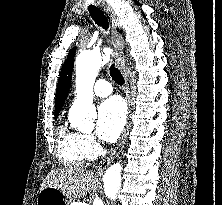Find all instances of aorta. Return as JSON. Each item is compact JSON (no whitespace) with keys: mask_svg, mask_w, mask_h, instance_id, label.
I'll return each mask as SVG.
<instances>
[{"mask_svg":"<svg viewBox=\"0 0 222 205\" xmlns=\"http://www.w3.org/2000/svg\"><path fill=\"white\" fill-rule=\"evenodd\" d=\"M107 53L100 51L81 52L76 60V99L69 111V121L82 132L94 129L93 86L98 71L107 61ZM124 186L123 164L112 165L105 173L103 185L94 200V205L116 203Z\"/></svg>","mask_w":222,"mask_h":205,"instance_id":"aorta-1","label":"aorta"}]
</instances>
